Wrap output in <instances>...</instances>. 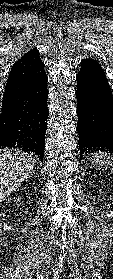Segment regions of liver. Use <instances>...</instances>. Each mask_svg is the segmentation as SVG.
<instances>
[{
	"label": "liver",
	"instance_id": "6515ba94",
	"mask_svg": "<svg viewBox=\"0 0 113 279\" xmlns=\"http://www.w3.org/2000/svg\"><path fill=\"white\" fill-rule=\"evenodd\" d=\"M35 162V155L19 149L0 150V202L28 178Z\"/></svg>",
	"mask_w": 113,
	"mask_h": 279
}]
</instances>
